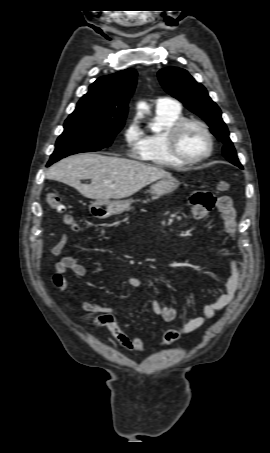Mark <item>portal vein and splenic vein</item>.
Segmentation results:
<instances>
[{
    "label": "portal vein and splenic vein",
    "mask_w": 270,
    "mask_h": 453,
    "mask_svg": "<svg viewBox=\"0 0 270 453\" xmlns=\"http://www.w3.org/2000/svg\"><path fill=\"white\" fill-rule=\"evenodd\" d=\"M105 183H110L109 181H105Z\"/></svg>",
    "instance_id": "portal-vein-and-splenic-vein-1"
}]
</instances>
